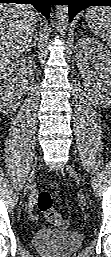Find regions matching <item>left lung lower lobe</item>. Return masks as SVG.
<instances>
[{"label": "left lung lower lobe", "instance_id": "obj_1", "mask_svg": "<svg viewBox=\"0 0 111 257\" xmlns=\"http://www.w3.org/2000/svg\"><path fill=\"white\" fill-rule=\"evenodd\" d=\"M68 2L70 22L79 11L89 6H111V0H69Z\"/></svg>", "mask_w": 111, "mask_h": 257}]
</instances>
